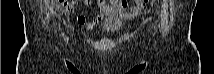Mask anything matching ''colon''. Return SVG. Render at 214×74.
I'll return each mask as SVG.
<instances>
[{
	"instance_id": "1",
	"label": "colon",
	"mask_w": 214,
	"mask_h": 74,
	"mask_svg": "<svg viewBox=\"0 0 214 74\" xmlns=\"http://www.w3.org/2000/svg\"><path fill=\"white\" fill-rule=\"evenodd\" d=\"M147 2H148V0H136V3H138L141 6L146 5Z\"/></svg>"
}]
</instances>
